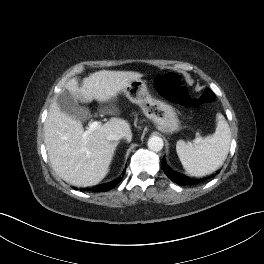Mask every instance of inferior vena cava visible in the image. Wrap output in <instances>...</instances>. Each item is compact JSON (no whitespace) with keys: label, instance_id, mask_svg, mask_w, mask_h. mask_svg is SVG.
<instances>
[{"label":"inferior vena cava","instance_id":"obj_1","mask_svg":"<svg viewBox=\"0 0 264 264\" xmlns=\"http://www.w3.org/2000/svg\"><path fill=\"white\" fill-rule=\"evenodd\" d=\"M123 138V135L122 134H119V133H111L107 136V139L109 141H113V140H119Z\"/></svg>","mask_w":264,"mask_h":264}]
</instances>
